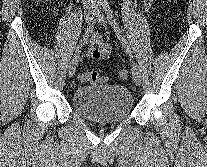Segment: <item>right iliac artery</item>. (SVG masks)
Masks as SVG:
<instances>
[{"label": "right iliac artery", "mask_w": 207, "mask_h": 167, "mask_svg": "<svg viewBox=\"0 0 207 167\" xmlns=\"http://www.w3.org/2000/svg\"><path fill=\"white\" fill-rule=\"evenodd\" d=\"M100 6H101V2H97L96 6H95V9H94V12H93V17L91 19V23L87 27V29L85 30V33L83 35V38L80 40L79 44L77 45L76 50H75V55L82 49V47L88 41V39H89V37H90V35L92 33V30L94 28V25L96 23V18L99 15Z\"/></svg>", "instance_id": "obj_1"}]
</instances>
